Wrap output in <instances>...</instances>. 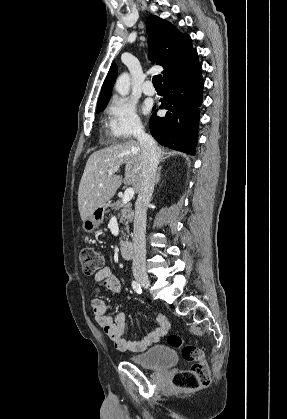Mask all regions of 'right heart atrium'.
Instances as JSON below:
<instances>
[{
  "instance_id": "obj_1",
  "label": "right heart atrium",
  "mask_w": 287,
  "mask_h": 419,
  "mask_svg": "<svg viewBox=\"0 0 287 419\" xmlns=\"http://www.w3.org/2000/svg\"><path fill=\"white\" fill-rule=\"evenodd\" d=\"M108 131L119 139L131 138L142 130V123L135 105L121 97H114L108 104Z\"/></svg>"
}]
</instances>
